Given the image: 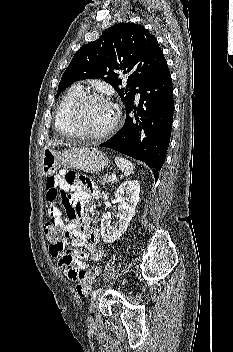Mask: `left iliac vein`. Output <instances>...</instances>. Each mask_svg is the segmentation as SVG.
Wrapping results in <instances>:
<instances>
[{"label":"left iliac vein","mask_w":233,"mask_h":352,"mask_svg":"<svg viewBox=\"0 0 233 352\" xmlns=\"http://www.w3.org/2000/svg\"><path fill=\"white\" fill-rule=\"evenodd\" d=\"M100 296H101V294L99 293L96 297L92 298L90 306H89V313H92L95 310V308L99 302ZM90 320H91V318L89 319V321Z\"/></svg>","instance_id":"left-iliac-vein-1"}]
</instances>
